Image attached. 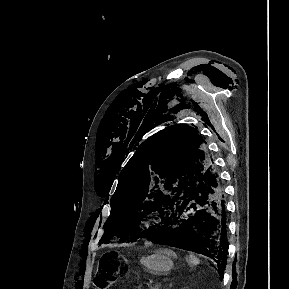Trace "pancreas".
Here are the masks:
<instances>
[{"instance_id": "obj_1", "label": "pancreas", "mask_w": 289, "mask_h": 289, "mask_svg": "<svg viewBox=\"0 0 289 289\" xmlns=\"http://www.w3.org/2000/svg\"><path fill=\"white\" fill-rule=\"evenodd\" d=\"M149 289H159V287L156 285V286H150Z\"/></svg>"}]
</instances>
